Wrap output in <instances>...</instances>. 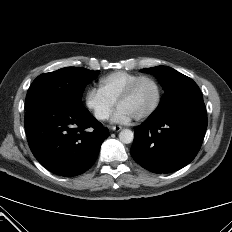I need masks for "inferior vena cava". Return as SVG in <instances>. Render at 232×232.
I'll use <instances>...</instances> for the list:
<instances>
[{
  "label": "inferior vena cava",
  "instance_id": "inferior-vena-cava-1",
  "mask_svg": "<svg viewBox=\"0 0 232 232\" xmlns=\"http://www.w3.org/2000/svg\"><path fill=\"white\" fill-rule=\"evenodd\" d=\"M97 119H106L108 115L106 113L98 112L95 114Z\"/></svg>",
  "mask_w": 232,
  "mask_h": 232
}]
</instances>
